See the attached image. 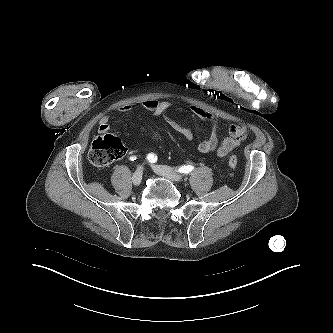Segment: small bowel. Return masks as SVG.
Here are the masks:
<instances>
[{
	"label": "small bowel",
	"instance_id": "1",
	"mask_svg": "<svg viewBox=\"0 0 333 333\" xmlns=\"http://www.w3.org/2000/svg\"><path fill=\"white\" fill-rule=\"evenodd\" d=\"M172 102L160 101L156 99H147L141 103V106L151 112L153 117H163L164 120L174 129V131L184 139L190 141L193 139V132L190 128L178 123L176 120L167 115L172 108ZM131 110L130 105H123L118 108L119 112H128ZM192 113L210 127L209 135L198 144V151L207 154L215 151L218 157H225L239 147L242 141L248 137V129L242 124H231L228 127V136L219 139L217 135V120L214 115L205 109L193 105ZM111 130L110 116L104 115L99 121L98 132L106 134Z\"/></svg>",
	"mask_w": 333,
	"mask_h": 333
}]
</instances>
